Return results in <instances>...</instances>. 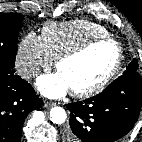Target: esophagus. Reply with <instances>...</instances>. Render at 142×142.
I'll list each match as a JSON object with an SVG mask.
<instances>
[{
    "instance_id": "esophagus-1",
    "label": "esophagus",
    "mask_w": 142,
    "mask_h": 142,
    "mask_svg": "<svg viewBox=\"0 0 142 142\" xmlns=\"http://www.w3.org/2000/svg\"><path fill=\"white\" fill-rule=\"evenodd\" d=\"M56 104L54 103V102H49V101H44L43 102V106L45 107V108H49V107H53V106H55Z\"/></svg>"
}]
</instances>
